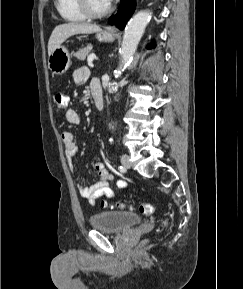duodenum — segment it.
Segmentation results:
<instances>
[{
  "mask_svg": "<svg viewBox=\"0 0 243 289\" xmlns=\"http://www.w3.org/2000/svg\"><path fill=\"white\" fill-rule=\"evenodd\" d=\"M92 97H93L95 108L98 111H101L103 109V96H102V91L100 87H96L92 90Z\"/></svg>",
  "mask_w": 243,
  "mask_h": 289,
  "instance_id": "1",
  "label": "duodenum"
}]
</instances>
